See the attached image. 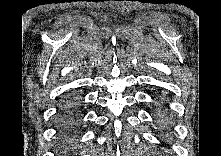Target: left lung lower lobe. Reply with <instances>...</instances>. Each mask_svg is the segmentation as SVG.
Returning a JSON list of instances; mask_svg holds the SVG:
<instances>
[{
	"label": "left lung lower lobe",
	"mask_w": 221,
	"mask_h": 156,
	"mask_svg": "<svg viewBox=\"0 0 221 156\" xmlns=\"http://www.w3.org/2000/svg\"><path fill=\"white\" fill-rule=\"evenodd\" d=\"M166 113L162 111H158V120L160 121L161 124H167V120H166Z\"/></svg>",
	"instance_id": "left-lung-lower-lobe-1"
}]
</instances>
